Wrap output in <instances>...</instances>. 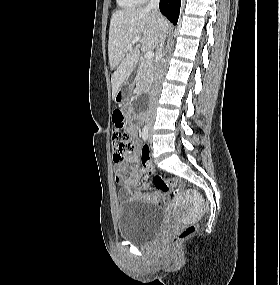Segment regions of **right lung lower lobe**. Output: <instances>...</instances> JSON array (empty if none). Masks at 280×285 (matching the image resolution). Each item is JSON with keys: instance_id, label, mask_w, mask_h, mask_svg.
<instances>
[{"instance_id": "98d812e1", "label": "right lung lower lobe", "mask_w": 280, "mask_h": 285, "mask_svg": "<svg viewBox=\"0 0 280 285\" xmlns=\"http://www.w3.org/2000/svg\"><path fill=\"white\" fill-rule=\"evenodd\" d=\"M181 0H160L159 8L174 25L177 24L179 17Z\"/></svg>"}]
</instances>
